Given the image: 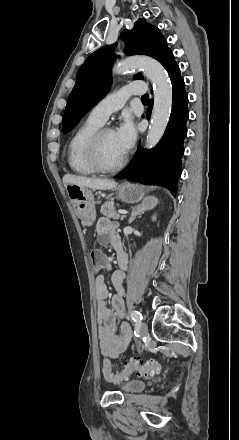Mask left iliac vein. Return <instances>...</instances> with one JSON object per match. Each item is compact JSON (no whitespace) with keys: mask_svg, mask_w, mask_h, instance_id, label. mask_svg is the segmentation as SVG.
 Instances as JSON below:
<instances>
[{"mask_svg":"<svg viewBox=\"0 0 239 440\" xmlns=\"http://www.w3.org/2000/svg\"><path fill=\"white\" fill-rule=\"evenodd\" d=\"M139 333L141 337H146L148 334V327L145 322L140 323Z\"/></svg>","mask_w":239,"mask_h":440,"instance_id":"1","label":"left iliac vein"}]
</instances>
